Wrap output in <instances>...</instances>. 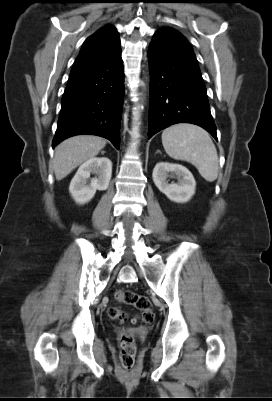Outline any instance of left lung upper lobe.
Here are the masks:
<instances>
[{
  "instance_id": "1",
  "label": "left lung upper lobe",
  "mask_w": 272,
  "mask_h": 401,
  "mask_svg": "<svg viewBox=\"0 0 272 401\" xmlns=\"http://www.w3.org/2000/svg\"><path fill=\"white\" fill-rule=\"evenodd\" d=\"M162 30H165L166 32H168L169 34H171L173 37H175L181 44L188 46L189 48H192L191 45L188 43V41L186 40V38L181 35L178 31L169 28V27H165V28H161Z\"/></svg>"
}]
</instances>
